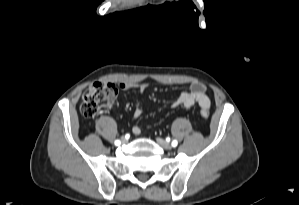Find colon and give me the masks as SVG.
I'll use <instances>...</instances> for the list:
<instances>
[{
  "mask_svg": "<svg viewBox=\"0 0 299 205\" xmlns=\"http://www.w3.org/2000/svg\"><path fill=\"white\" fill-rule=\"evenodd\" d=\"M119 92V86L114 83L95 82L90 85L83 95L81 113L85 117L95 116L101 109L113 104ZM201 116L209 118V111L201 108Z\"/></svg>",
  "mask_w": 299,
  "mask_h": 205,
  "instance_id": "obj_1",
  "label": "colon"
}]
</instances>
